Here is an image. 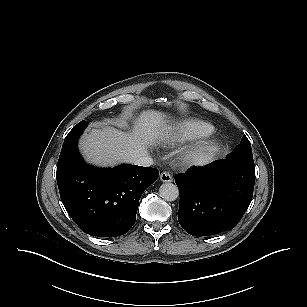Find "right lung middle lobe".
Segmentation results:
<instances>
[{"mask_svg":"<svg viewBox=\"0 0 307 307\" xmlns=\"http://www.w3.org/2000/svg\"><path fill=\"white\" fill-rule=\"evenodd\" d=\"M86 126H87V122H85V121H81L80 123H78L68 133V135L66 136L64 141L68 140L69 138L75 137V136H80L82 134V132L84 131V129L86 128Z\"/></svg>","mask_w":307,"mask_h":307,"instance_id":"dd1d6c3e","label":"right lung middle lobe"}]
</instances>
